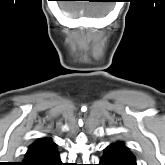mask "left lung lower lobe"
<instances>
[{"instance_id": "left-lung-lower-lobe-1", "label": "left lung lower lobe", "mask_w": 165, "mask_h": 165, "mask_svg": "<svg viewBox=\"0 0 165 165\" xmlns=\"http://www.w3.org/2000/svg\"><path fill=\"white\" fill-rule=\"evenodd\" d=\"M99 165H136V161L129 157L124 150L108 146Z\"/></svg>"}]
</instances>
